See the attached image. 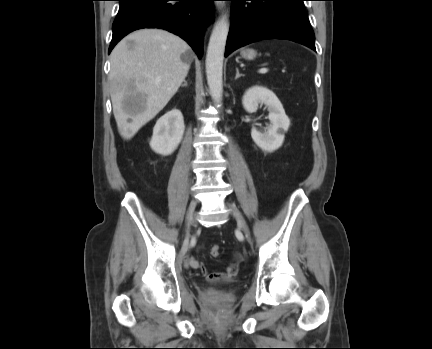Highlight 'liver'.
Here are the masks:
<instances>
[{"mask_svg": "<svg viewBox=\"0 0 432 349\" xmlns=\"http://www.w3.org/2000/svg\"><path fill=\"white\" fill-rule=\"evenodd\" d=\"M185 53H191L189 45L161 29L134 31L115 46L109 80L113 113L122 138L130 140L177 92L190 68V61L181 59ZM127 99L138 103L136 110L124 108Z\"/></svg>", "mask_w": 432, "mask_h": 349, "instance_id": "1", "label": "liver"}]
</instances>
